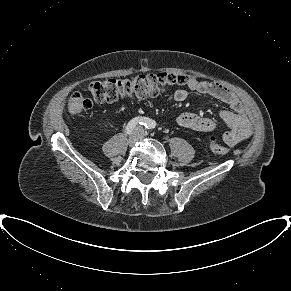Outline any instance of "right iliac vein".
Segmentation results:
<instances>
[{
	"mask_svg": "<svg viewBox=\"0 0 291 291\" xmlns=\"http://www.w3.org/2000/svg\"><path fill=\"white\" fill-rule=\"evenodd\" d=\"M138 141V133L134 132L130 135L128 139L129 146H134V144Z\"/></svg>",
	"mask_w": 291,
	"mask_h": 291,
	"instance_id": "right-iliac-vein-1",
	"label": "right iliac vein"
}]
</instances>
